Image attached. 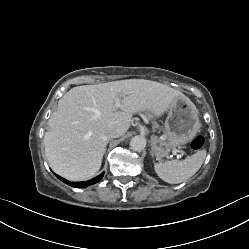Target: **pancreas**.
<instances>
[{
	"label": "pancreas",
	"mask_w": 249,
	"mask_h": 249,
	"mask_svg": "<svg viewBox=\"0 0 249 249\" xmlns=\"http://www.w3.org/2000/svg\"><path fill=\"white\" fill-rule=\"evenodd\" d=\"M153 126H154V128H157L158 124L156 122H153Z\"/></svg>",
	"instance_id": "1"
}]
</instances>
